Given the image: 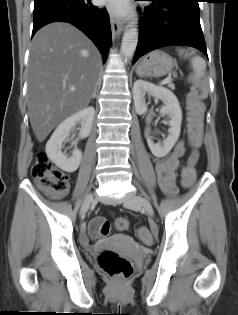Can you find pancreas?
Here are the masks:
<instances>
[{"mask_svg":"<svg viewBox=\"0 0 238 315\" xmlns=\"http://www.w3.org/2000/svg\"><path fill=\"white\" fill-rule=\"evenodd\" d=\"M169 87H170L171 89H174V88H175L174 85H172V84H170Z\"/></svg>","mask_w":238,"mask_h":315,"instance_id":"cf45deb5","label":"pancreas"}]
</instances>
